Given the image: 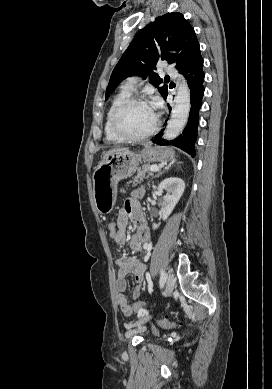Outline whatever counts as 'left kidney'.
Returning a JSON list of instances; mask_svg holds the SVG:
<instances>
[{"label": "left kidney", "instance_id": "1", "mask_svg": "<svg viewBox=\"0 0 272 389\" xmlns=\"http://www.w3.org/2000/svg\"><path fill=\"white\" fill-rule=\"evenodd\" d=\"M185 189V183L182 179L177 177H170L164 179L158 186V191L162 193L164 190L167 194L163 197L160 204L163 220H166L172 213L176 204L180 200ZM159 225L153 224V229H157Z\"/></svg>", "mask_w": 272, "mask_h": 389}]
</instances>
